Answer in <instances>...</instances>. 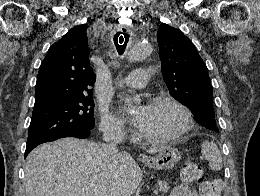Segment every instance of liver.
<instances>
[{"label": "liver", "mask_w": 260, "mask_h": 196, "mask_svg": "<svg viewBox=\"0 0 260 196\" xmlns=\"http://www.w3.org/2000/svg\"><path fill=\"white\" fill-rule=\"evenodd\" d=\"M152 146L147 154H157ZM26 196H132L143 178L142 170L127 152L109 156L103 144L62 138L32 150L24 166Z\"/></svg>", "instance_id": "obj_1"}]
</instances>
